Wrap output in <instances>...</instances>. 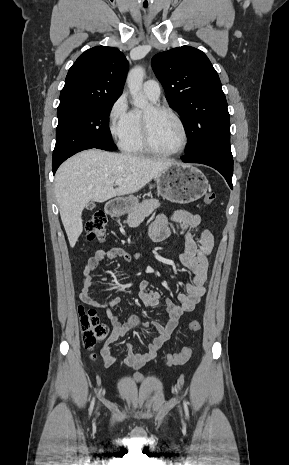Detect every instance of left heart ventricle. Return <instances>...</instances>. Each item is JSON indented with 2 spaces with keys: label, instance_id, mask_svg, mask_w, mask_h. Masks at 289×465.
I'll use <instances>...</instances> for the list:
<instances>
[{
  "label": "left heart ventricle",
  "instance_id": "left-heart-ventricle-1",
  "mask_svg": "<svg viewBox=\"0 0 289 465\" xmlns=\"http://www.w3.org/2000/svg\"><path fill=\"white\" fill-rule=\"evenodd\" d=\"M144 113L149 118L154 146L164 152L179 149L183 142V134L178 122L168 113L153 112L150 107Z\"/></svg>",
  "mask_w": 289,
  "mask_h": 465
}]
</instances>
